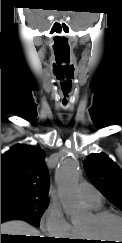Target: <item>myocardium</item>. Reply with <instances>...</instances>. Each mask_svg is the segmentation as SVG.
Wrapping results in <instances>:
<instances>
[{
    "mask_svg": "<svg viewBox=\"0 0 122 243\" xmlns=\"http://www.w3.org/2000/svg\"><path fill=\"white\" fill-rule=\"evenodd\" d=\"M91 215H92L93 220L96 223H99V222H101V221H103V220H105L106 218H109V217H114V218H117L120 221H122V215L121 214H119L117 212L109 211V210L94 211ZM79 232H80L81 237L84 240L93 241L94 238H97V237L93 236L92 234H90L88 231L83 230L81 228H79Z\"/></svg>",
    "mask_w": 122,
    "mask_h": 243,
    "instance_id": "1",
    "label": "myocardium"
}]
</instances>
